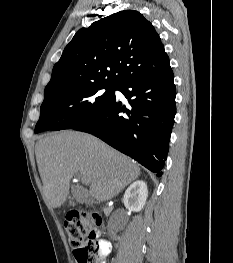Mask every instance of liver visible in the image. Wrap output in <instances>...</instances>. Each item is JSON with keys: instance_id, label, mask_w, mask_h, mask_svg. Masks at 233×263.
<instances>
[{"instance_id": "liver-1", "label": "liver", "mask_w": 233, "mask_h": 263, "mask_svg": "<svg viewBox=\"0 0 233 263\" xmlns=\"http://www.w3.org/2000/svg\"><path fill=\"white\" fill-rule=\"evenodd\" d=\"M36 160L45 201L53 208L64 204L75 173L91 180L89 195L110 200L140 175L139 166L98 138L71 130L48 134L36 143Z\"/></svg>"}]
</instances>
